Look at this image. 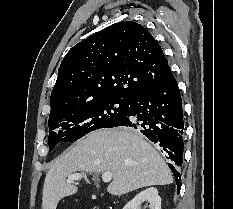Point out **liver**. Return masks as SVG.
I'll return each instance as SVG.
<instances>
[{
  "label": "liver",
  "mask_w": 233,
  "mask_h": 209,
  "mask_svg": "<svg viewBox=\"0 0 233 209\" xmlns=\"http://www.w3.org/2000/svg\"><path fill=\"white\" fill-rule=\"evenodd\" d=\"M75 172H111L108 193L121 196L139 188L168 185L173 176L160 154L132 129H102L88 134L57 158L46 174L42 209L78 191L66 178Z\"/></svg>",
  "instance_id": "6515ba94"
}]
</instances>
